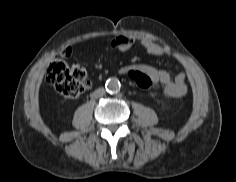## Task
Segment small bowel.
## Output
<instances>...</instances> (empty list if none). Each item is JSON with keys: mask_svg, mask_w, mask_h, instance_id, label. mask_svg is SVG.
Wrapping results in <instances>:
<instances>
[{"mask_svg": "<svg viewBox=\"0 0 236 182\" xmlns=\"http://www.w3.org/2000/svg\"><path fill=\"white\" fill-rule=\"evenodd\" d=\"M135 40L131 36L120 35L116 37L111 42V48L120 52L128 51L134 45ZM142 47L145 51L154 56H166L170 55L171 51L168 47L160 45L156 42H153L149 39H144L141 41ZM72 49L67 46L64 48L60 55L63 58H67L71 55ZM137 69H140L147 73L152 79L153 85L162 84L163 85V94L169 98H179L184 96L187 93V77L186 74L181 72L177 74L174 78L170 75L169 72L163 69H157L153 66L147 64L136 65ZM91 87V82H85V88L89 89Z\"/></svg>", "mask_w": 236, "mask_h": 182, "instance_id": "small-bowel-1", "label": "small bowel"}]
</instances>
